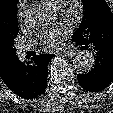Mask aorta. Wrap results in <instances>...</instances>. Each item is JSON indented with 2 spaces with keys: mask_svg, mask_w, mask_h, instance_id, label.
Wrapping results in <instances>:
<instances>
[{
  "mask_svg": "<svg viewBox=\"0 0 113 113\" xmlns=\"http://www.w3.org/2000/svg\"><path fill=\"white\" fill-rule=\"evenodd\" d=\"M31 13L41 24H46L50 19L48 12L42 8H36ZM94 64V57L90 54H79L73 60V67L80 74L91 71Z\"/></svg>",
  "mask_w": 113,
  "mask_h": 113,
  "instance_id": "obj_1",
  "label": "aorta"
}]
</instances>
